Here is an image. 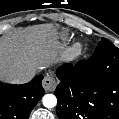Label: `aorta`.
Masks as SVG:
<instances>
[{"instance_id": "1", "label": "aorta", "mask_w": 119, "mask_h": 119, "mask_svg": "<svg viewBox=\"0 0 119 119\" xmlns=\"http://www.w3.org/2000/svg\"><path fill=\"white\" fill-rule=\"evenodd\" d=\"M42 101H43V105L46 108H53L57 104V99H56L55 95H53V94L44 95Z\"/></svg>"}]
</instances>
